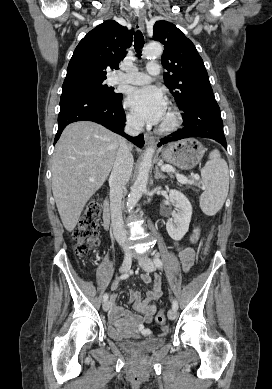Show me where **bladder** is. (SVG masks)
<instances>
[{
  "label": "bladder",
  "mask_w": 272,
  "mask_h": 389,
  "mask_svg": "<svg viewBox=\"0 0 272 389\" xmlns=\"http://www.w3.org/2000/svg\"><path fill=\"white\" fill-rule=\"evenodd\" d=\"M108 334L116 341L120 349L132 355L148 354L165 344L163 338H149L142 341L120 340L111 328L108 329Z\"/></svg>",
  "instance_id": "bladder-1"
}]
</instances>
